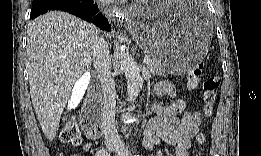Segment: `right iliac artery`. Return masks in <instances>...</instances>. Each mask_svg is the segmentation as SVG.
I'll use <instances>...</instances> for the list:
<instances>
[{"label":"right iliac artery","instance_id":"right-iliac-artery-1","mask_svg":"<svg viewBox=\"0 0 261 156\" xmlns=\"http://www.w3.org/2000/svg\"><path fill=\"white\" fill-rule=\"evenodd\" d=\"M96 155L97 156H107V155H109V153L104 149H100L97 151Z\"/></svg>","mask_w":261,"mask_h":156}]
</instances>
